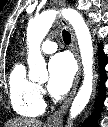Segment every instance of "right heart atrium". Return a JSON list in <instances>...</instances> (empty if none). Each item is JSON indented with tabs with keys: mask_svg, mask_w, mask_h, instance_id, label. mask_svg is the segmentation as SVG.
<instances>
[{
	"mask_svg": "<svg viewBox=\"0 0 108 127\" xmlns=\"http://www.w3.org/2000/svg\"><path fill=\"white\" fill-rule=\"evenodd\" d=\"M39 92H40V95H43L44 94V91L42 88L39 87Z\"/></svg>",
	"mask_w": 108,
	"mask_h": 127,
	"instance_id": "right-heart-atrium-1",
	"label": "right heart atrium"
}]
</instances>
